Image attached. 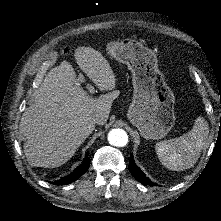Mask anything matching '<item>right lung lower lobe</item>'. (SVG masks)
Masks as SVG:
<instances>
[{"mask_svg": "<svg viewBox=\"0 0 221 221\" xmlns=\"http://www.w3.org/2000/svg\"><path fill=\"white\" fill-rule=\"evenodd\" d=\"M89 160L86 158L85 161L77 167L70 175L61 178L58 181L52 182L54 185H66L80 178L89 168Z\"/></svg>", "mask_w": 221, "mask_h": 221, "instance_id": "98d812e1", "label": "right lung lower lobe"}]
</instances>
